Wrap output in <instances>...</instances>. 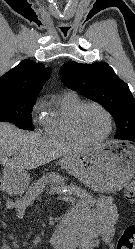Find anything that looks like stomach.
I'll return each mask as SVG.
<instances>
[{"label":"stomach","mask_w":135,"mask_h":249,"mask_svg":"<svg viewBox=\"0 0 135 249\" xmlns=\"http://www.w3.org/2000/svg\"><path fill=\"white\" fill-rule=\"evenodd\" d=\"M59 163L92 190L113 193L126 186L135 173V147L125 142H106L65 156ZM8 181L21 191L29 183V176L23 171H8Z\"/></svg>","instance_id":"obj_1"}]
</instances>
